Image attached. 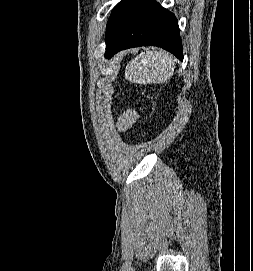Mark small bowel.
<instances>
[{
  "label": "small bowel",
  "instance_id": "1",
  "mask_svg": "<svg viewBox=\"0 0 253 271\" xmlns=\"http://www.w3.org/2000/svg\"><path fill=\"white\" fill-rule=\"evenodd\" d=\"M139 114L134 110L125 111L118 120L119 131L126 133L132 129L135 122L138 120Z\"/></svg>",
  "mask_w": 253,
  "mask_h": 271
}]
</instances>
